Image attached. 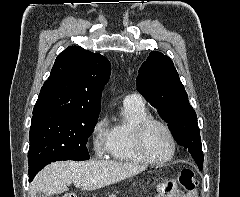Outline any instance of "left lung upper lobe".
<instances>
[{"mask_svg": "<svg viewBox=\"0 0 240 197\" xmlns=\"http://www.w3.org/2000/svg\"><path fill=\"white\" fill-rule=\"evenodd\" d=\"M137 90L168 123L176 141L187 149L199 168L203 152L197 117L189 103L172 60L161 52H150L139 69Z\"/></svg>", "mask_w": 240, "mask_h": 197, "instance_id": "left-lung-upper-lobe-1", "label": "left lung upper lobe"}]
</instances>
